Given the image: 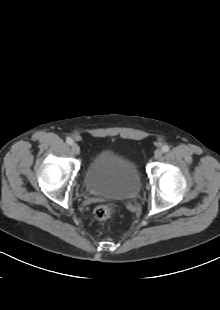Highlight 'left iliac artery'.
Listing matches in <instances>:
<instances>
[{"mask_svg":"<svg viewBox=\"0 0 220 310\" xmlns=\"http://www.w3.org/2000/svg\"><path fill=\"white\" fill-rule=\"evenodd\" d=\"M169 150H170V147H169L168 145H164V146L162 147V151H163L164 153L168 152Z\"/></svg>","mask_w":220,"mask_h":310,"instance_id":"left-iliac-artery-1","label":"left iliac artery"}]
</instances>
